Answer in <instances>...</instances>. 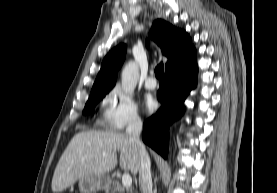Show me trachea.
Segmentation results:
<instances>
[{
    "instance_id": "obj_1",
    "label": "trachea",
    "mask_w": 277,
    "mask_h": 193,
    "mask_svg": "<svg viewBox=\"0 0 277 193\" xmlns=\"http://www.w3.org/2000/svg\"><path fill=\"white\" fill-rule=\"evenodd\" d=\"M163 73H164V65L161 62L156 68H155V76L157 78H162L163 77Z\"/></svg>"
}]
</instances>
